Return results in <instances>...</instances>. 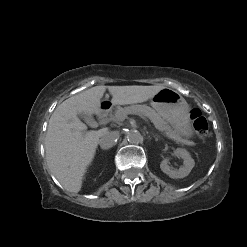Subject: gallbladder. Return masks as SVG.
<instances>
[{
    "mask_svg": "<svg viewBox=\"0 0 247 247\" xmlns=\"http://www.w3.org/2000/svg\"><path fill=\"white\" fill-rule=\"evenodd\" d=\"M79 117L83 118L87 123H91L93 121L92 117L85 113H79Z\"/></svg>",
    "mask_w": 247,
    "mask_h": 247,
    "instance_id": "obj_1",
    "label": "gallbladder"
}]
</instances>
